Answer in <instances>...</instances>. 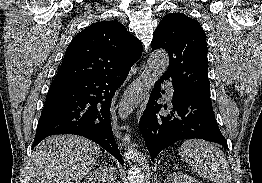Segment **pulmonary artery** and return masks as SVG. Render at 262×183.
<instances>
[{"mask_svg": "<svg viewBox=\"0 0 262 183\" xmlns=\"http://www.w3.org/2000/svg\"><path fill=\"white\" fill-rule=\"evenodd\" d=\"M165 87L167 89L169 99H172V95H173L172 83L170 81H165Z\"/></svg>", "mask_w": 262, "mask_h": 183, "instance_id": "e3ab8cb5", "label": "pulmonary artery"}]
</instances>
